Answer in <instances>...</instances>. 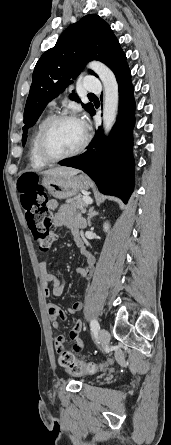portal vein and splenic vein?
Masks as SVG:
<instances>
[{"label": "portal vein and splenic vein", "mask_w": 171, "mask_h": 445, "mask_svg": "<svg viewBox=\"0 0 171 445\" xmlns=\"http://www.w3.org/2000/svg\"><path fill=\"white\" fill-rule=\"evenodd\" d=\"M84 199V201L87 203V204H90V203H92V199L90 198V197H84L83 198Z\"/></svg>", "instance_id": "portal-vein-and-splenic-vein-1"}]
</instances>
